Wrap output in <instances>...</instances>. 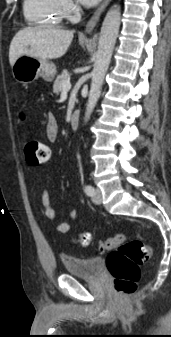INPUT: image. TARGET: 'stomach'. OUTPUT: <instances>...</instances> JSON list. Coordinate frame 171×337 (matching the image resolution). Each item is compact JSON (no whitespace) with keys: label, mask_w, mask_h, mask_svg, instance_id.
<instances>
[{"label":"stomach","mask_w":171,"mask_h":337,"mask_svg":"<svg viewBox=\"0 0 171 337\" xmlns=\"http://www.w3.org/2000/svg\"><path fill=\"white\" fill-rule=\"evenodd\" d=\"M56 72L54 63L28 55L20 56L12 66L13 77L23 84L31 83L38 77L50 82Z\"/></svg>","instance_id":"1"}]
</instances>
